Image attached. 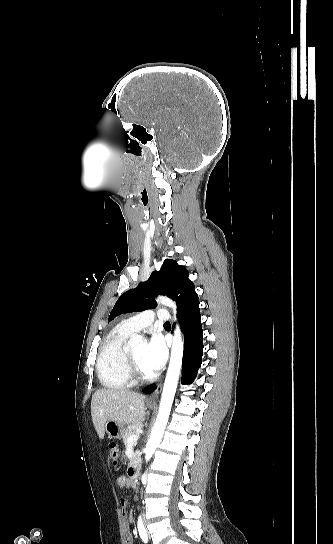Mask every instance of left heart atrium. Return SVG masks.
<instances>
[{
  "label": "left heart atrium",
  "mask_w": 333,
  "mask_h": 544,
  "mask_svg": "<svg viewBox=\"0 0 333 544\" xmlns=\"http://www.w3.org/2000/svg\"><path fill=\"white\" fill-rule=\"evenodd\" d=\"M167 359V349L160 335H153L144 351L143 363L151 372L159 371Z\"/></svg>",
  "instance_id": "1"
}]
</instances>
